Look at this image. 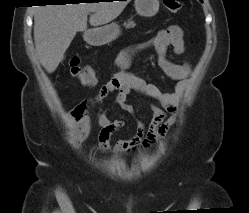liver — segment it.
<instances>
[{
    "label": "liver",
    "mask_w": 249,
    "mask_h": 213,
    "mask_svg": "<svg viewBox=\"0 0 249 213\" xmlns=\"http://www.w3.org/2000/svg\"><path fill=\"white\" fill-rule=\"evenodd\" d=\"M127 1L38 6L34 14V41L39 60L48 73L56 70L78 31L107 24L117 18Z\"/></svg>",
    "instance_id": "liver-1"
}]
</instances>
